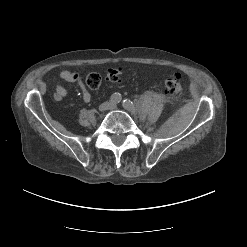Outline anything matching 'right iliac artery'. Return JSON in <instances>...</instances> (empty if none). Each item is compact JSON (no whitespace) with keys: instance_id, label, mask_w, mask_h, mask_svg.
I'll return each instance as SVG.
<instances>
[{"instance_id":"right-iliac-artery-1","label":"right iliac artery","mask_w":247,"mask_h":247,"mask_svg":"<svg viewBox=\"0 0 247 247\" xmlns=\"http://www.w3.org/2000/svg\"><path fill=\"white\" fill-rule=\"evenodd\" d=\"M110 100L112 103H119L122 100V97L119 93H114L112 94Z\"/></svg>"}]
</instances>
